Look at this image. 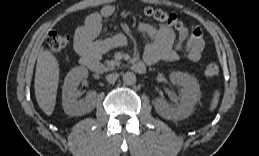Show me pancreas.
Wrapping results in <instances>:
<instances>
[{"mask_svg":"<svg viewBox=\"0 0 259 156\" xmlns=\"http://www.w3.org/2000/svg\"><path fill=\"white\" fill-rule=\"evenodd\" d=\"M120 61L117 60H107L105 61V65L108 69L113 70L116 67H120Z\"/></svg>","mask_w":259,"mask_h":156,"instance_id":"obj_1","label":"pancreas"}]
</instances>
